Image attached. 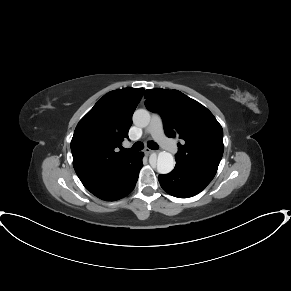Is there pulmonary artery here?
I'll use <instances>...</instances> for the list:
<instances>
[{
	"mask_svg": "<svg viewBox=\"0 0 291 291\" xmlns=\"http://www.w3.org/2000/svg\"><path fill=\"white\" fill-rule=\"evenodd\" d=\"M145 132L167 150L174 151L176 149L174 142L165 135L163 120L159 115H152L150 124Z\"/></svg>",
	"mask_w": 291,
	"mask_h": 291,
	"instance_id": "e3ab8cb5",
	"label": "pulmonary artery"
}]
</instances>
